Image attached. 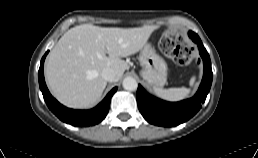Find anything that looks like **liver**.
<instances>
[{
	"label": "liver",
	"mask_w": 258,
	"mask_h": 158,
	"mask_svg": "<svg viewBox=\"0 0 258 158\" xmlns=\"http://www.w3.org/2000/svg\"><path fill=\"white\" fill-rule=\"evenodd\" d=\"M155 29L104 28L92 24L69 29L46 60L45 78L51 93L71 108L95 104L107 85L102 70L113 69L118 81L129 67L121 57L141 50Z\"/></svg>",
	"instance_id": "6515ba94"
}]
</instances>
